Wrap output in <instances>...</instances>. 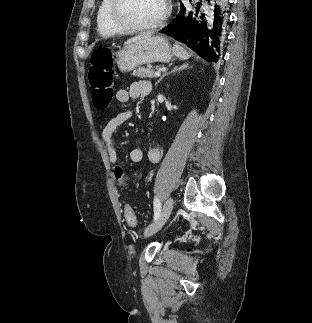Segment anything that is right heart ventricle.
Listing matches in <instances>:
<instances>
[{
    "instance_id": "e07e8e85",
    "label": "right heart ventricle",
    "mask_w": 312,
    "mask_h": 323,
    "mask_svg": "<svg viewBox=\"0 0 312 323\" xmlns=\"http://www.w3.org/2000/svg\"><path fill=\"white\" fill-rule=\"evenodd\" d=\"M115 7L112 1H97L94 11V20L98 33H117L123 29V22H117L114 18Z\"/></svg>"
}]
</instances>
